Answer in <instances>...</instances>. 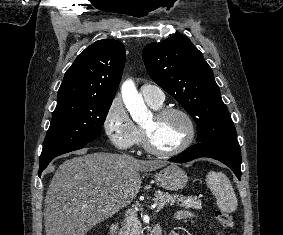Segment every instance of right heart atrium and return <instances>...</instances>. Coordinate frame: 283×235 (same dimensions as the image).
Here are the masks:
<instances>
[{"label": "right heart atrium", "instance_id": "right-heart-atrium-1", "mask_svg": "<svg viewBox=\"0 0 283 235\" xmlns=\"http://www.w3.org/2000/svg\"><path fill=\"white\" fill-rule=\"evenodd\" d=\"M103 127L111 142L120 149H128L137 141L138 127L130 118L120 97H115L109 104Z\"/></svg>", "mask_w": 283, "mask_h": 235}]
</instances>
